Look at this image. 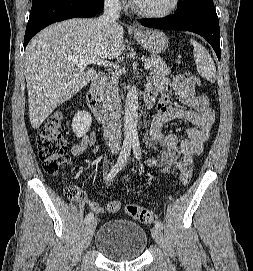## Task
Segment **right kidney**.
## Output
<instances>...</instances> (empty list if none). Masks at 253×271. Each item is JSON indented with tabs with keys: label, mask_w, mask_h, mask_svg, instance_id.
I'll return each mask as SVG.
<instances>
[{
	"label": "right kidney",
	"mask_w": 253,
	"mask_h": 271,
	"mask_svg": "<svg viewBox=\"0 0 253 271\" xmlns=\"http://www.w3.org/2000/svg\"><path fill=\"white\" fill-rule=\"evenodd\" d=\"M92 123V118L89 112L79 111L75 114L72 122V130L75 135L80 138L85 135Z\"/></svg>",
	"instance_id": "right-kidney-1"
}]
</instances>
